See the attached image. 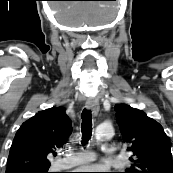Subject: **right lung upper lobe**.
Returning <instances> with one entry per match:
<instances>
[{
	"mask_svg": "<svg viewBox=\"0 0 173 173\" xmlns=\"http://www.w3.org/2000/svg\"><path fill=\"white\" fill-rule=\"evenodd\" d=\"M71 130V122L63 107L38 112L18 129L6 173H32L49 168L48 156L63 147Z\"/></svg>",
	"mask_w": 173,
	"mask_h": 173,
	"instance_id": "1",
	"label": "right lung upper lobe"
}]
</instances>
